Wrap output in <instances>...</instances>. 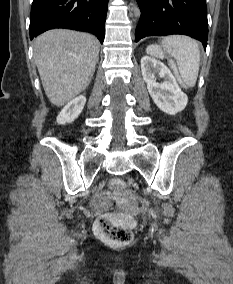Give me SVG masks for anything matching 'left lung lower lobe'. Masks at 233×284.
<instances>
[{"label":"left lung lower lobe","mask_w":233,"mask_h":284,"mask_svg":"<svg viewBox=\"0 0 233 284\" xmlns=\"http://www.w3.org/2000/svg\"><path fill=\"white\" fill-rule=\"evenodd\" d=\"M141 17L135 41L146 36L184 34L207 45L208 21L205 0H137Z\"/></svg>","instance_id":"obj_1"}]
</instances>
